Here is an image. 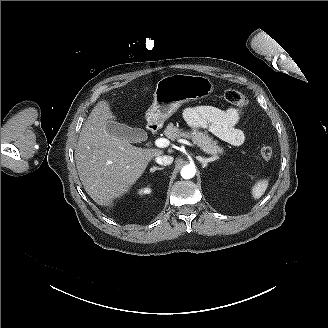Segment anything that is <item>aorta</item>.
I'll return each mask as SVG.
<instances>
[{
  "label": "aorta",
  "mask_w": 328,
  "mask_h": 328,
  "mask_svg": "<svg viewBox=\"0 0 328 328\" xmlns=\"http://www.w3.org/2000/svg\"><path fill=\"white\" fill-rule=\"evenodd\" d=\"M195 167L192 165H186L181 169V176L184 179H191L195 176Z\"/></svg>",
  "instance_id": "762f6f07"
}]
</instances>
